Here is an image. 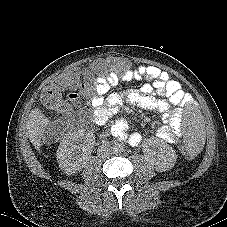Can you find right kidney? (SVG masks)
<instances>
[{
    "mask_svg": "<svg viewBox=\"0 0 227 227\" xmlns=\"http://www.w3.org/2000/svg\"><path fill=\"white\" fill-rule=\"evenodd\" d=\"M94 142L93 133L82 130L64 137L56 153L60 169L68 175L79 172L89 158Z\"/></svg>",
    "mask_w": 227,
    "mask_h": 227,
    "instance_id": "obj_1",
    "label": "right kidney"
}]
</instances>
